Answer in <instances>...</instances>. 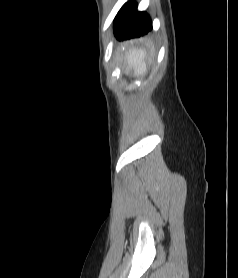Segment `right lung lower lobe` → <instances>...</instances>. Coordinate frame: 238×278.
I'll list each match as a JSON object with an SVG mask.
<instances>
[{"mask_svg":"<svg viewBox=\"0 0 238 278\" xmlns=\"http://www.w3.org/2000/svg\"><path fill=\"white\" fill-rule=\"evenodd\" d=\"M151 30L150 17L145 12H138L133 2L126 3L115 18L114 33L118 40L143 36Z\"/></svg>","mask_w":238,"mask_h":278,"instance_id":"1","label":"right lung lower lobe"}]
</instances>
